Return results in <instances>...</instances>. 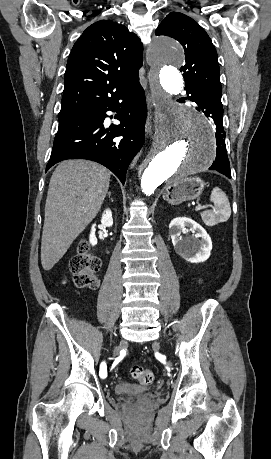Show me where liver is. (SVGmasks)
Listing matches in <instances>:
<instances>
[{"label": "liver", "instance_id": "1", "mask_svg": "<svg viewBox=\"0 0 271 459\" xmlns=\"http://www.w3.org/2000/svg\"><path fill=\"white\" fill-rule=\"evenodd\" d=\"M107 168L89 160H65L50 180L41 241L43 269L66 253L75 237L98 214L109 190Z\"/></svg>", "mask_w": 271, "mask_h": 459}]
</instances>
